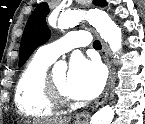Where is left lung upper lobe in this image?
I'll use <instances>...</instances> for the list:
<instances>
[{
  "instance_id": "obj_1",
  "label": "left lung upper lobe",
  "mask_w": 145,
  "mask_h": 124,
  "mask_svg": "<svg viewBox=\"0 0 145 124\" xmlns=\"http://www.w3.org/2000/svg\"><path fill=\"white\" fill-rule=\"evenodd\" d=\"M97 6H105V0H94ZM49 7L46 2L39 4L29 17L20 44L19 66L21 67L32 52L50 38L46 24Z\"/></svg>"
}]
</instances>
